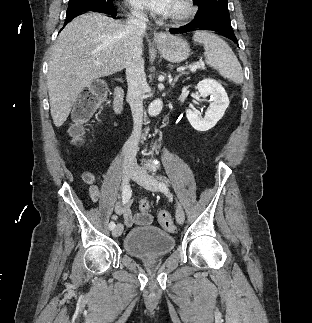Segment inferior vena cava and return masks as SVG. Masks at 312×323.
Wrapping results in <instances>:
<instances>
[{
	"instance_id": "obj_1",
	"label": "inferior vena cava",
	"mask_w": 312,
	"mask_h": 323,
	"mask_svg": "<svg viewBox=\"0 0 312 323\" xmlns=\"http://www.w3.org/2000/svg\"><path fill=\"white\" fill-rule=\"evenodd\" d=\"M146 22H148L146 14L133 10L123 26L131 40V50L125 66L128 82V100L133 118L132 134L124 144L129 154L139 150L138 144L143 124V94H145L147 82L142 58V36L146 34Z\"/></svg>"
}]
</instances>
